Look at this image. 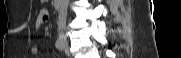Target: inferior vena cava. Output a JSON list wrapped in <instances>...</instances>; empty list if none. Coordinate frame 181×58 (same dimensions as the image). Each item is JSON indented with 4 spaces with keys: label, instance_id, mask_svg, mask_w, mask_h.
<instances>
[{
    "label": "inferior vena cava",
    "instance_id": "602c4592",
    "mask_svg": "<svg viewBox=\"0 0 181 58\" xmlns=\"http://www.w3.org/2000/svg\"><path fill=\"white\" fill-rule=\"evenodd\" d=\"M69 4V0H61V8L59 13L58 20V32L59 34H63L66 27V17H67V7Z\"/></svg>",
    "mask_w": 181,
    "mask_h": 58
}]
</instances>
